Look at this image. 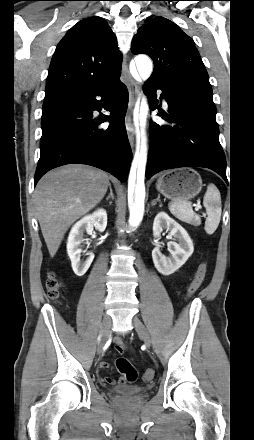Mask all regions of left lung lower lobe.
I'll use <instances>...</instances> for the list:
<instances>
[{
    "instance_id": "1",
    "label": "left lung lower lobe",
    "mask_w": 254,
    "mask_h": 440,
    "mask_svg": "<svg viewBox=\"0 0 254 440\" xmlns=\"http://www.w3.org/2000/svg\"><path fill=\"white\" fill-rule=\"evenodd\" d=\"M145 93L156 99V90L168 103V112L159 111L170 125L150 121L151 138L146 178L155 173L178 167H205L217 172L227 182L226 159L219 143L216 108L192 98L171 96L160 84L148 80ZM155 106V105H154ZM155 107H152L154 110Z\"/></svg>"
}]
</instances>
